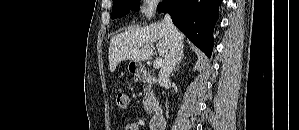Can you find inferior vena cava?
Segmentation results:
<instances>
[{"mask_svg":"<svg viewBox=\"0 0 299 130\" xmlns=\"http://www.w3.org/2000/svg\"><path fill=\"white\" fill-rule=\"evenodd\" d=\"M164 22L167 26L169 32V38L171 41V47L169 54L166 56L164 65L159 72V83L162 85L169 81V75L171 74L173 68L181 59L183 54V44L179 31L174 26L171 16L165 14Z\"/></svg>","mask_w":299,"mask_h":130,"instance_id":"inferior-vena-cava-1","label":"inferior vena cava"}]
</instances>
